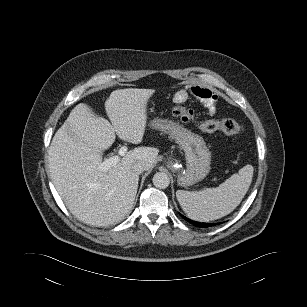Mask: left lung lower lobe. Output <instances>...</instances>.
Returning <instances> with one entry per match:
<instances>
[{"label":"left lung lower lobe","mask_w":307,"mask_h":307,"mask_svg":"<svg viewBox=\"0 0 307 307\" xmlns=\"http://www.w3.org/2000/svg\"><path fill=\"white\" fill-rule=\"evenodd\" d=\"M181 216H182L186 221L192 223L194 226L199 227V228H206V227H211V226L216 225V224H214V223L208 224V223L196 222V221H193V220H190V219L184 217L183 215H181Z\"/></svg>","instance_id":"1"}]
</instances>
